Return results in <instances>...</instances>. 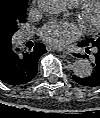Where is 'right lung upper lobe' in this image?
I'll use <instances>...</instances> for the list:
<instances>
[{
	"instance_id": "obj_1",
	"label": "right lung upper lobe",
	"mask_w": 100,
	"mask_h": 118,
	"mask_svg": "<svg viewBox=\"0 0 100 118\" xmlns=\"http://www.w3.org/2000/svg\"><path fill=\"white\" fill-rule=\"evenodd\" d=\"M28 0H0V50L11 45L10 23L15 22L14 7Z\"/></svg>"
}]
</instances>
